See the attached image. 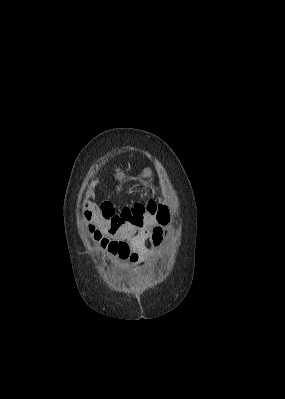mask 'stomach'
Returning <instances> with one entry per match:
<instances>
[{
    "instance_id": "stomach-1",
    "label": "stomach",
    "mask_w": 285,
    "mask_h": 399,
    "mask_svg": "<svg viewBox=\"0 0 285 399\" xmlns=\"http://www.w3.org/2000/svg\"><path fill=\"white\" fill-rule=\"evenodd\" d=\"M124 177H125V175H124L123 172H118V173L116 174V179H117V180H120V181H121L122 179H124ZM142 177L145 178V179H151V178H152V171H151V169H150V168H146V169L144 170L143 174H142Z\"/></svg>"
}]
</instances>
